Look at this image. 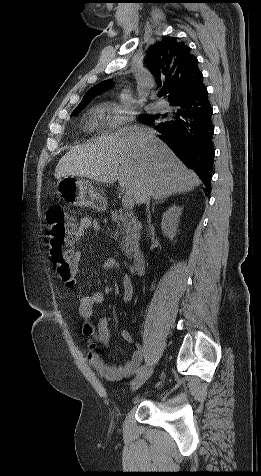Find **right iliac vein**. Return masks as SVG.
<instances>
[{
  "label": "right iliac vein",
  "instance_id": "1",
  "mask_svg": "<svg viewBox=\"0 0 261 476\" xmlns=\"http://www.w3.org/2000/svg\"><path fill=\"white\" fill-rule=\"evenodd\" d=\"M152 370H144L142 373L138 374L131 382V390L136 391L139 389L151 376Z\"/></svg>",
  "mask_w": 261,
  "mask_h": 476
}]
</instances>
